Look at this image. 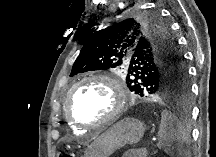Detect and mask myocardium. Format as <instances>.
Masks as SVG:
<instances>
[{"label":"myocardium","instance_id":"f54148a6","mask_svg":"<svg viewBox=\"0 0 216 157\" xmlns=\"http://www.w3.org/2000/svg\"><path fill=\"white\" fill-rule=\"evenodd\" d=\"M90 82H99L111 90L113 94V106L110 112L107 115H105L103 118L93 122H82L78 120L71 111L72 93L79 86ZM126 105H127V92L125 87L119 80L109 75L91 74L79 79L71 86V88L67 93L65 107H66V115L68 121L71 124L79 128H91V127L112 123L122 114Z\"/></svg>","mask_w":216,"mask_h":157}]
</instances>
